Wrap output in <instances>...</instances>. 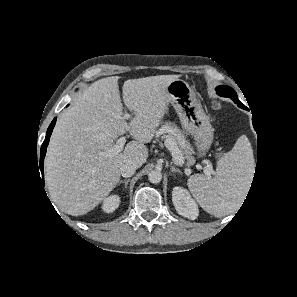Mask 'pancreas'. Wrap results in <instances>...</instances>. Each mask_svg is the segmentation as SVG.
<instances>
[{"instance_id": "obj_1", "label": "pancreas", "mask_w": 297, "mask_h": 297, "mask_svg": "<svg viewBox=\"0 0 297 297\" xmlns=\"http://www.w3.org/2000/svg\"><path fill=\"white\" fill-rule=\"evenodd\" d=\"M162 129L168 131L166 139H169L174 143V146L176 147L175 152L178 155L189 158L192 154H194L191 144L185 139L184 134L175 124L165 122L161 127V130Z\"/></svg>"}]
</instances>
